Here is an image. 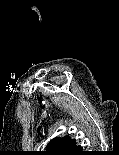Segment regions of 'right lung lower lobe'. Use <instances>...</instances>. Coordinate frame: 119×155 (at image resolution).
<instances>
[{
	"label": "right lung lower lobe",
	"instance_id": "obj_1",
	"mask_svg": "<svg viewBox=\"0 0 119 155\" xmlns=\"http://www.w3.org/2000/svg\"><path fill=\"white\" fill-rule=\"evenodd\" d=\"M66 155H86V152L83 151L80 146L75 144L69 151H67Z\"/></svg>",
	"mask_w": 119,
	"mask_h": 155
}]
</instances>
